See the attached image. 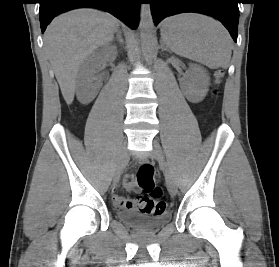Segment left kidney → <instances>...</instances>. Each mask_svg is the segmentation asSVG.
I'll return each mask as SVG.
<instances>
[{"label":"left kidney","instance_id":"left-kidney-1","mask_svg":"<svg viewBox=\"0 0 279 267\" xmlns=\"http://www.w3.org/2000/svg\"><path fill=\"white\" fill-rule=\"evenodd\" d=\"M184 78L186 81L181 87L188 101L201 102L209 90L210 78L207 71L201 66L192 64Z\"/></svg>","mask_w":279,"mask_h":267}]
</instances>
